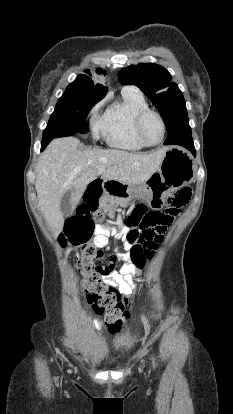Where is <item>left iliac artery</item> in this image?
Masks as SVG:
<instances>
[{
	"instance_id": "1",
	"label": "left iliac artery",
	"mask_w": 233,
	"mask_h": 414,
	"mask_svg": "<svg viewBox=\"0 0 233 414\" xmlns=\"http://www.w3.org/2000/svg\"><path fill=\"white\" fill-rule=\"evenodd\" d=\"M153 365L155 366V362H154V359H153Z\"/></svg>"
}]
</instances>
